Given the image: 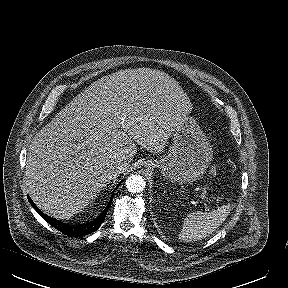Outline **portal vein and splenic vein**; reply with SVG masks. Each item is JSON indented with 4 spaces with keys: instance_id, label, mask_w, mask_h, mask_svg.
Segmentation results:
<instances>
[{
    "instance_id": "18ae733b",
    "label": "portal vein and splenic vein",
    "mask_w": 288,
    "mask_h": 288,
    "mask_svg": "<svg viewBox=\"0 0 288 288\" xmlns=\"http://www.w3.org/2000/svg\"><path fill=\"white\" fill-rule=\"evenodd\" d=\"M203 187H204V189H207V188H208L206 184L203 185ZM205 211H208V207H207V206H205Z\"/></svg>"
}]
</instances>
